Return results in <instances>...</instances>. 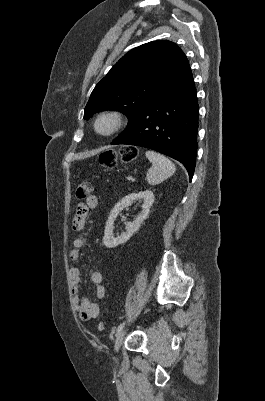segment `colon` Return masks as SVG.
Here are the masks:
<instances>
[{
  "instance_id": "colon-1",
  "label": "colon",
  "mask_w": 265,
  "mask_h": 401,
  "mask_svg": "<svg viewBox=\"0 0 265 401\" xmlns=\"http://www.w3.org/2000/svg\"><path fill=\"white\" fill-rule=\"evenodd\" d=\"M138 151L135 147L124 146L119 149H110L102 152L99 155V162L102 167L106 169H113L117 166L119 161L131 162L136 159ZM93 186L90 182H81L76 190V196L78 199H87L92 195ZM104 324L100 322L98 324V329L100 331L104 330Z\"/></svg>"
}]
</instances>
